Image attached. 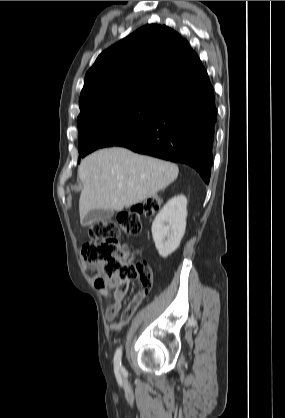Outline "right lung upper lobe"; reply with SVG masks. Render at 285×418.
<instances>
[{
	"mask_svg": "<svg viewBox=\"0 0 285 418\" xmlns=\"http://www.w3.org/2000/svg\"><path fill=\"white\" fill-rule=\"evenodd\" d=\"M188 41L165 25L148 24L103 51L85 75L80 121L105 107L134 101L165 105L207 77Z\"/></svg>",
	"mask_w": 285,
	"mask_h": 418,
	"instance_id": "right-lung-upper-lobe-1",
	"label": "right lung upper lobe"
}]
</instances>
